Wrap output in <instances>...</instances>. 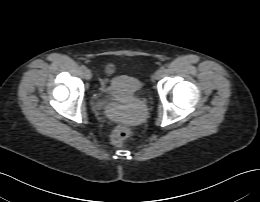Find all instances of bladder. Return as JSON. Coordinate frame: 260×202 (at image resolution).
I'll use <instances>...</instances> for the list:
<instances>
[{"mask_svg": "<svg viewBox=\"0 0 260 202\" xmlns=\"http://www.w3.org/2000/svg\"><path fill=\"white\" fill-rule=\"evenodd\" d=\"M140 90V82L137 78L120 75L115 77L107 87V93L117 98H131Z\"/></svg>", "mask_w": 260, "mask_h": 202, "instance_id": "obj_1", "label": "bladder"}]
</instances>
